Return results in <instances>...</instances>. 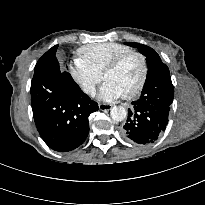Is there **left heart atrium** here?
Masks as SVG:
<instances>
[{
	"label": "left heart atrium",
	"mask_w": 205,
	"mask_h": 205,
	"mask_svg": "<svg viewBox=\"0 0 205 205\" xmlns=\"http://www.w3.org/2000/svg\"><path fill=\"white\" fill-rule=\"evenodd\" d=\"M122 96L121 90L108 81H105L100 89V97L106 101H113Z\"/></svg>",
	"instance_id": "1"
}]
</instances>
